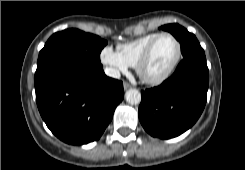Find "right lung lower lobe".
<instances>
[{
    "instance_id": "right-lung-lower-lobe-1",
    "label": "right lung lower lobe",
    "mask_w": 245,
    "mask_h": 170,
    "mask_svg": "<svg viewBox=\"0 0 245 170\" xmlns=\"http://www.w3.org/2000/svg\"><path fill=\"white\" fill-rule=\"evenodd\" d=\"M36 102L51 132L71 145L98 140L123 100L121 81L107 77L101 63L68 61L35 80Z\"/></svg>"
}]
</instances>
